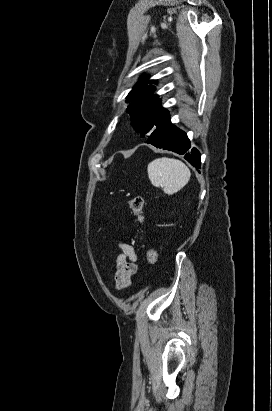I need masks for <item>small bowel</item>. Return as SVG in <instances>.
I'll use <instances>...</instances> for the list:
<instances>
[{"mask_svg": "<svg viewBox=\"0 0 272 411\" xmlns=\"http://www.w3.org/2000/svg\"><path fill=\"white\" fill-rule=\"evenodd\" d=\"M117 247L120 253L114 264L113 277L116 290L123 291L131 286L132 278L138 272L137 254L128 243L119 242Z\"/></svg>", "mask_w": 272, "mask_h": 411, "instance_id": "1", "label": "small bowel"}]
</instances>
